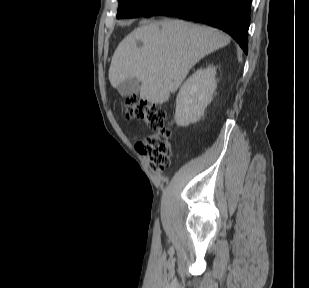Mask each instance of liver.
<instances>
[{
    "label": "liver",
    "mask_w": 309,
    "mask_h": 288,
    "mask_svg": "<svg viewBox=\"0 0 309 288\" xmlns=\"http://www.w3.org/2000/svg\"><path fill=\"white\" fill-rule=\"evenodd\" d=\"M229 43L226 34L212 27L171 19L147 22L116 48L109 81L116 88L126 79L135 78L141 82V99L162 104L197 62Z\"/></svg>",
    "instance_id": "liver-1"
}]
</instances>
